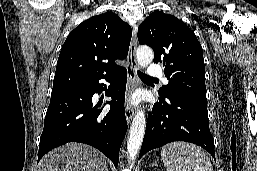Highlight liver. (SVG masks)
<instances>
[{
	"instance_id": "6515ba94",
	"label": "liver",
	"mask_w": 257,
	"mask_h": 171,
	"mask_svg": "<svg viewBox=\"0 0 257 171\" xmlns=\"http://www.w3.org/2000/svg\"><path fill=\"white\" fill-rule=\"evenodd\" d=\"M106 158L95 148L70 142L46 154L38 171H105Z\"/></svg>"
}]
</instances>
